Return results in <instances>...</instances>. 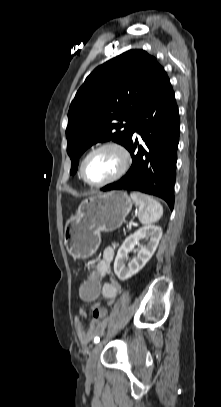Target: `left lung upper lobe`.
Masks as SVG:
<instances>
[{
  "instance_id": "1",
  "label": "left lung upper lobe",
  "mask_w": 221,
  "mask_h": 407,
  "mask_svg": "<svg viewBox=\"0 0 221 407\" xmlns=\"http://www.w3.org/2000/svg\"><path fill=\"white\" fill-rule=\"evenodd\" d=\"M166 72L144 50H129L98 66L77 91L68 112L70 174L91 145L113 140L127 146L135 121Z\"/></svg>"
}]
</instances>
